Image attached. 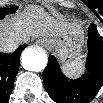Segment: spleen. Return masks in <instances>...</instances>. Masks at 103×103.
<instances>
[{"label":"spleen","instance_id":"obj_1","mask_svg":"<svg viewBox=\"0 0 103 103\" xmlns=\"http://www.w3.org/2000/svg\"><path fill=\"white\" fill-rule=\"evenodd\" d=\"M62 70L69 77H76L84 71V64L81 59H76L70 63L63 65Z\"/></svg>","mask_w":103,"mask_h":103}]
</instances>
